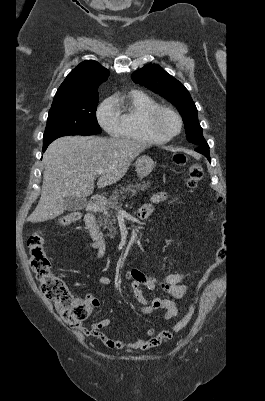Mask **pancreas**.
I'll return each mask as SVG.
<instances>
[{
	"instance_id": "obj_1",
	"label": "pancreas",
	"mask_w": 265,
	"mask_h": 401,
	"mask_svg": "<svg viewBox=\"0 0 265 401\" xmlns=\"http://www.w3.org/2000/svg\"><path fill=\"white\" fill-rule=\"evenodd\" d=\"M149 184V180H147V182L143 180V184H141V182H136V184H127V186H121L120 184L119 190H113V194H111L110 198H108V201L103 209V215L99 217L101 221L104 219L105 229H108L109 231L108 237L114 239V235H118L113 225H115L116 221L115 213H117L119 207H121V203H119V201H121V198H125L124 192H127V194L131 192V196H133V194H137L138 190H145V188H148Z\"/></svg>"
}]
</instances>
